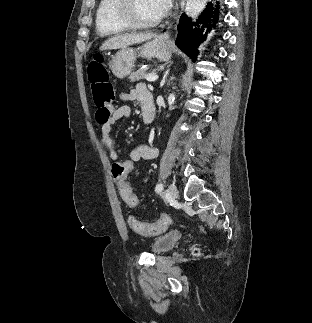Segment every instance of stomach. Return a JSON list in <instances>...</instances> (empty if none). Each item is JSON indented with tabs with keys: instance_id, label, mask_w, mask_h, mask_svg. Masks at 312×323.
Returning <instances> with one entry per match:
<instances>
[{
	"instance_id": "1",
	"label": "stomach",
	"mask_w": 312,
	"mask_h": 323,
	"mask_svg": "<svg viewBox=\"0 0 312 323\" xmlns=\"http://www.w3.org/2000/svg\"><path fill=\"white\" fill-rule=\"evenodd\" d=\"M169 36L161 34L155 36L152 42H146L143 46H139L136 50L133 48H121L115 56H112L110 68L116 78H126L132 72L136 58H157L160 62H169L171 60L172 48Z\"/></svg>"
}]
</instances>
